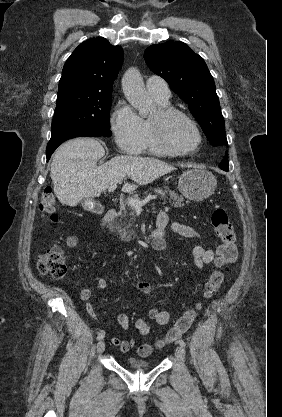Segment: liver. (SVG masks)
<instances>
[{
  "label": "liver",
  "instance_id": "6515ba94",
  "mask_svg": "<svg viewBox=\"0 0 282 417\" xmlns=\"http://www.w3.org/2000/svg\"><path fill=\"white\" fill-rule=\"evenodd\" d=\"M105 150L96 138H72L57 148L51 162L50 176L54 192L62 202L76 206L85 196H100L111 184L130 176L136 184H124L123 192H133L138 184H148L155 178L175 170V166L150 156L118 154L101 166L96 162Z\"/></svg>",
  "mask_w": 282,
  "mask_h": 417
}]
</instances>
